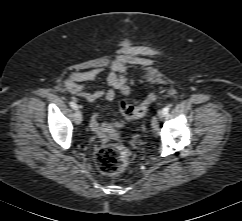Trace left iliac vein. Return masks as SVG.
Listing matches in <instances>:
<instances>
[{
	"mask_svg": "<svg viewBox=\"0 0 242 221\" xmlns=\"http://www.w3.org/2000/svg\"><path fill=\"white\" fill-rule=\"evenodd\" d=\"M163 117L162 111H158L155 118L152 120V128L157 129L158 128V121Z\"/></svg>",
	"mask_w": 242,
	"mask_h": 221,
	"instance_id": "1",
	"label": "left iliac vein"
}]
</instances>
